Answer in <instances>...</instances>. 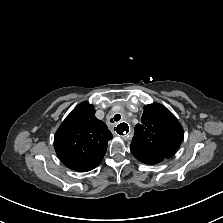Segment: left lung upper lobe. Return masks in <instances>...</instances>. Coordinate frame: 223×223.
Listing matches in <instances>:
<instances>
[{"instance_id":"left-lung-upper-lobe-1","label":"left lung upper lobe","mask_w":223,"mask_h":223,"mask_svg":"<svg viewBox=\"0 0 223 223\" xmlns=\"http://www.w3.org/2000/svg\"><path fill=\"white\" fill-rule=\"evenodd\" d=\"M134 130L131 149L164 159L175 154L184 136L177 118L158 103L144 106L141 124Z\"/></svg>"}]
</instances>
